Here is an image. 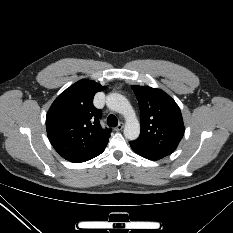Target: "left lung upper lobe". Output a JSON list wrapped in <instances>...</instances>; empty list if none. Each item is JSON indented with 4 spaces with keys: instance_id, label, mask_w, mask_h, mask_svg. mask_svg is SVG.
<instances>
[{
    "instance_id": "1",
    "label": "left lung upper lobe",
    "mask_w": 233,
    "mask_h": 233,
    "mask_svg": "<svg viewBox=\"0 0 233 233\" xmlns=\"http://www.w3.org/2000/svg\"><path fill=\"white\" fill-rule=\"evenodd\" d=\"M140 107L141 133L135 140L154 152L170 155L184 135L180 108L161 89L132 86Z\"/></svg>"
}]
</instances>
